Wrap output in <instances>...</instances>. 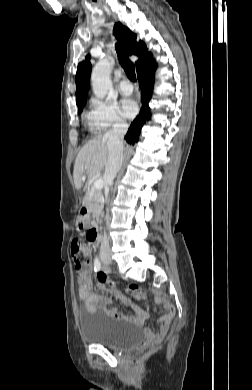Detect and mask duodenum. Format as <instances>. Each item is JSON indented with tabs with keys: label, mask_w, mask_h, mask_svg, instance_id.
I'll use <instances>...</instances> for the list:
<instances>
[{
	"label": "duodenum",
	"mask_w": 252,
	"mask_h": 390,
	"mask_svg": "<svg viewBox=\"0 0 252 390\" xmlns=\"http://www.w3.org/2000/svg\"><path fill=\"white\" fill-rule=\"evenodd\" d=\"M81 220H82V223L85 224V225L89 223V220H90V210L87 207H84L81 210ZM91 230L93 232L92 242L95 243L98 240L97 228L95 226H93L91 228Z\"/></svg>",
	"instance_id": "410a0bca"
}]
</instances>
